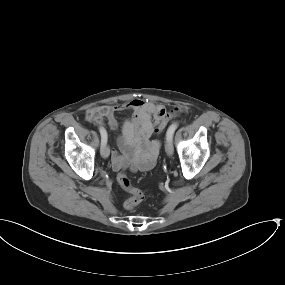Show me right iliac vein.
Here are the masks:
<instances>
[{
    "instance_id": "1",
    "label": "right iliac vein",
    "mask_w": 285,
    "mask_h": 285,
    "mask_svg": "<svg viewBox=\"0 0 285 285\" xmlns=\"http://www.w3.org/2000/svg\"><path fill=\"white\" fill-rule=\"evenodd\" d=\"M109 154H110V149H109V146H108V144H107V142H106V143L103 144L102 147H101V155H102V157H104V158H108Z\"/></svg>"
}]
</instances>
